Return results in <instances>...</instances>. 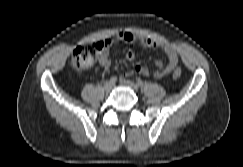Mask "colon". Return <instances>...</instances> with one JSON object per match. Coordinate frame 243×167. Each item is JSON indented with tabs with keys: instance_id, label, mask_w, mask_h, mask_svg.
<instances>
[{
	"instance_id": "obj_1",
	"label": "colon",
	"mask_w": 243,
	"mask_h": 167,
	"mask_svg": "<svg viewBox=\"0 0 243 167\" xmlns=\"http://www.w3.org/2000/svg\"><path fill=\"white\" fill-rule=\"evenodd\" d=\"M103 42L96 41L79 46L72 54L71 65L77 71H82L88 68L94 61L98 50L103 48ZM181 76V70L176 69L173 77L178 79Z\"/></svg>"
}]
</instances>
